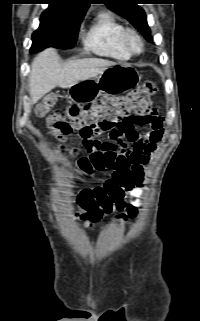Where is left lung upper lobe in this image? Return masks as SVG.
Wrapping results in <instances>:
<instances>
[{
	"instance_id": "obj_1",
	"label": "left lung upper lobe",
	"mask_w": 200,
	"mask_h": 321,
	"mask_svg": "<svg viewBox=\"0 0 200 321\" xmlns=\"http://www.w3.org/2000/svg\"><path fill=\"white\" fill-rule=\"evenodd\" d=\"M107 7L127 19L146 39L150 40V28L145 11L137 5L138 0H101Z\"/></svg>"
}]
</instances>
